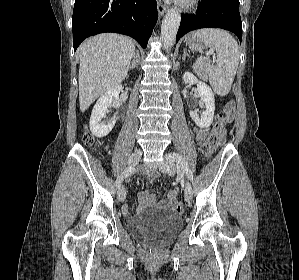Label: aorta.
Masks as SVG:
<instances>
[{
    "instance_id": "aorta-1",
    "label": "aorta",
    "mask_w": 299,
    "mask_h": 280,
    "mask_svg": "<svg viewBox=\"0 0 299 280\" xmlns=\"http://www.w3.org/2000/svg\"><path fill=\"white\" fill-rule=\"evenodd\" d=\"M180 21L181 15L179 10L176 8L170 9L163 19L161 26V39L164 49L167 51L174 45Z\"/></svg>"
}]
</instances>
